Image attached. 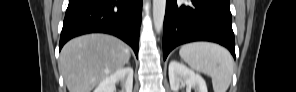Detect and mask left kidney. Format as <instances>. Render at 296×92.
Returning <instances> with one entry per match:
<instances>
[{
    "instance_id": "obj_1",
    "label": "left kidney",
    "mask_w": 296,
    "mask_h": 92,
    "mask_svg": "<svg viewBox=\"0 0 296 92\" xmlns=\"http://www.w3.org/2000/svg\"><path fill=\"white\" fill-rule=\"evenodd\" d=\"M169 81L172 92H178L184 85L194 88L195 92H208L205 80L178 61L173 60L169 63Z\"/></svg>"
}]
</instances>
